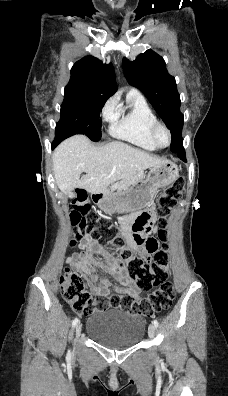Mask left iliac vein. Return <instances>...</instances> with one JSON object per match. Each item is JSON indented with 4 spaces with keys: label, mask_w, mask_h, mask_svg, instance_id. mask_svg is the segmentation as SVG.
I'll return each instance as SVG.
<instances>
[{
    "label": "left iliac vein",
    "mask_w": 228,
    "mask_h": 396,
    "mask_svg": "<svg viewBox=\"0 0 228 396\" xmlns=\"http://www.w3.org/2000/svg\"><path fill=\"white\" fill-rule=\"evenodd\" d=\"M155 334H156V328H155L154 324H151L148 329V335H149L150 339H153L155 337Z\"/></svg>",
    "instance_id": "obj_1"
}]
</instances>
